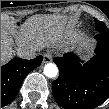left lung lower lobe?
<instances>
[{
  "mask_svg": "<svg viewBox=\"0 0 109 109\" xmlns=\"http://www.w3.org/2000/svg\"><path fill=\"white\" fill-rule=\"evenodd\" d=\"M95 39V55L83 65L70 53L54 58L59 77L52 93L64 109H93L109 98V34L99 33Z\"/></svg>",
  "mask_w": 109,
  "mask_h": 109,
  "instance_id": "obj_1",
  "label": "left lung lower lobe"
}]
</instances>
